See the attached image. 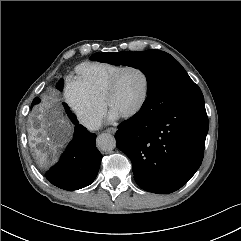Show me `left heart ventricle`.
<instances>
[{
    "mask_svg": "<svg viewBox=\"0 0 241 241\" xmlns=\"http://www.w3.org/2000/svg\"><path fill=\"white\" fill-rule=\"evenodd\" d=\"M144 77L135 69L122 73L111 96L109 108L120 116L134 109L144 92Z\"/></svg>",
    "mask_w": 241,
    "mask_h": 241,
    "instance_id": "1",
    "label": "left heart ventricle"
}]
</instances>
